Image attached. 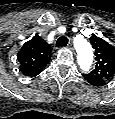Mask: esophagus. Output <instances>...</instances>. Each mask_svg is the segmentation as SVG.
Here are the masks:
<instances>
[{"label":"esophagus","mask_w":115,"mask_h":119,"mask_svg":"<svg viewBox=\"0 0 115 119\" xmlns=\"http://www.w3.org/2000/svg\"><path fill=\"white\" fill-rule=\"evenodd\" d=\"M67 48L71 51H74V48H73L72 44H68Z\"/></svg>","instance_id":"34e87169"}]
</instances>
